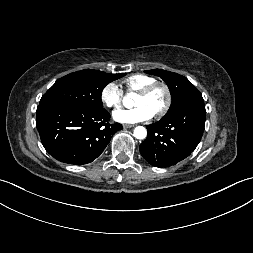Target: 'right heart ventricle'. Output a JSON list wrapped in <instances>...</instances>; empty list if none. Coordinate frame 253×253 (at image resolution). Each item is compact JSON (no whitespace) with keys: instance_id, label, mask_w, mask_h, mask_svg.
Segmentation results:
<instances>
[{"instance_id":"obj_1","label":"right heart ventricle","mask_w":253,"mask_h":253,"mask_svg":"<svg viewBox=\"0 0 253 253\" xmlns=\"http://www.w3.org/2000/svg\"><path fill=\"white\" fill-rule=\"evenodd\" d=\"M156 79L154 77L144 74H134L123 80V84L127 91H139L144 87L154 83Z\"/></svg>"}]
</instances>
